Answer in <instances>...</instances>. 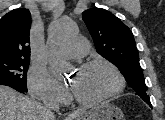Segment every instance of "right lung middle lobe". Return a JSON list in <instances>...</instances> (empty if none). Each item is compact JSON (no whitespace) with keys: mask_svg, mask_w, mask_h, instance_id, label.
I'll list each match as a JSON object with an SVG mask.
<instances>
[{"mask_svg":"<svg viewBox=\"0 0 165 120\" xmlns=\"http://www.w3.org/2000/svg\"><path fill=\"white\" fill-rule=\"evenodd\" d=\"M29 63V58H0V85L27 92L26 74Z\"/></svg>","mask_w":165,"mask_h":120,"instance_id":"dd1d6c3e","label":"right lung middle lobe"}]
</instances>
